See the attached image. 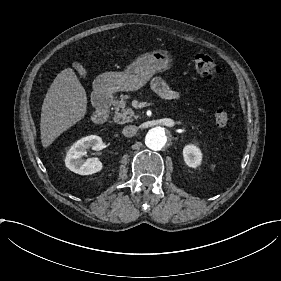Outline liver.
Wrapping results in <instances>:
<instances>
[{
    "mask_svg": "<svg viewBox=\"0 0 281 281\" xmlns=\"http://www.w3.org/2000/svg\"><path fill=\"white\" fill-rule=\"evenodd\" d=\"M41 111L40 132L44 148L85 116L86 92L73 69L67 68L57 74Z\"/></svg>",
    "mask_w": 281,
    "mask_h": 281,
    "instance_id": "1",
    "label": "liver"
}]
</instances>
